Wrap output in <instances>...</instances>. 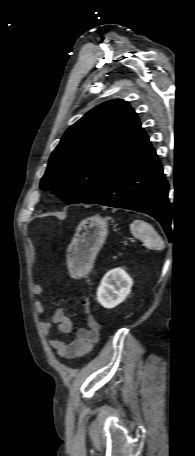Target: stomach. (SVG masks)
<instances>
[{
  "label": "stomach",
  "instance_id": "stomach-1",
  "mask_svg": "<svg viewBox=\"0 0 195 456\" xmlns=\"http://www.w3.org/2000/svg\"><path fill=\"white\" fill-rule=\"evenodd\" d=\"M107 233V221L100 216H91L79 223L67 249V263L73 276L89 273Z\"/></svg>",
  "mask_w": 195,
  "mask_h": 456
}]
</instances>
